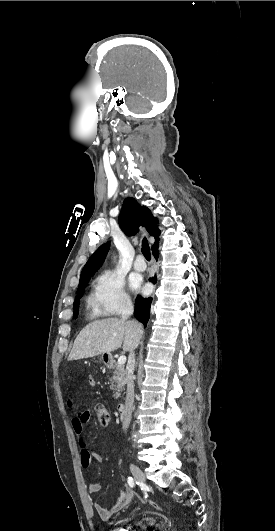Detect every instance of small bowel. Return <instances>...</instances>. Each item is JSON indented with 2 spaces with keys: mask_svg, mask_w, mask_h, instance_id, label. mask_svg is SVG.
<instances>
[{
  "mask_svg": "<svg viewBox=\"0 0 275 531\" xmlns=\"http://www.w3.org/2000/svg\"><path fill=\"white\" fill-rule=\"evenodd\" d=\"M86 380L88 382H91L93 380V377L91 375H88L86 377ZM90 388L92 390H95L97 388V385L95 383H92L90 385ZM89 420H90V413L88 411H81L77 413L71 420V427L74 433L76 434V436L79 438L80 445L82 447L81 463L84 467H87L86 464L89 466L92 460H96L98 462H104L105 460V457L101 455L100 453L88 450L86 448V443L84 439V428H85V425L89 422ZM99 489H100V484L97 482H91L88 485L89 493H95ZM133 495H134V490L130 486L125 485L123 487L119 500L110 509L102 507L97 502H91V506L97 512L98 516L102 520L106 521V520H109L114 515V513L120 511L126 505L131 503Z\"/></svg>",
  "mask_w": 275,
  "mask_h": 531,
  "instance_id": "small-bowel-1",
  "label": "small bowel"
}]
</instances>
